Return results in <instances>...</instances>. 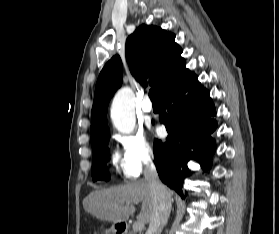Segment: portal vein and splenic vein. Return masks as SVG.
<instances>
[{
  "mask_svg": "<svg viewBox=\"0 0 279 234\" xmlns=\"http://www.w3.org/2000/svg\"><path fill=\"white\" fill-rule=\"evenodd\" d=\"M144 228V223L142 221H136L133 224V230L134 231H141Z\"/></svg>",
  "mask_w": 279,
  "mask_h": 234,
  "instance_id": "1",
  "label": "portal vein and splenic vein"
}]
</instances>
